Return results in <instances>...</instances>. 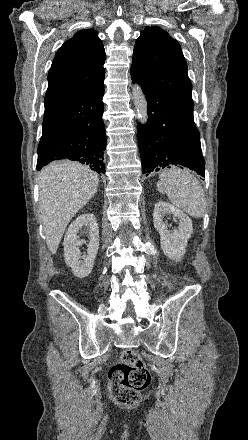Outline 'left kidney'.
<instances>
[{
  "instance_id": "1",
  "label": "left kidney",
  "mask_w": 248,
  "mask_h": 440,
  "mask_svg": "<svg viewBox=\"0 0 248 440\" xmlns=\"http://www.w3.org/2000/svg\"><path fill=\"white\" fill-rule=\"evenodd\" d=\"M171 214L179 220L178 230H168L163 221L164 216ZM153 222L155 229L160 234V243L164 254L172 260L180 261L186 252L187 241L193 233L191 219L170 203L159 201L154 207Z\"/></svg>"
}]
</instances>
